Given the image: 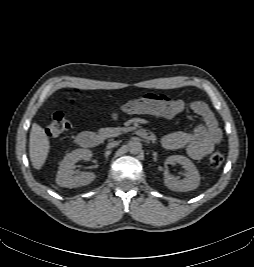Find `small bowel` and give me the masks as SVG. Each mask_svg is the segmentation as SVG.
I'll return each instance as SVG.
<instances>
[{
	"label": "small bowel",
	"mask_w": 254,
	"mask_h": 267,
	"mask_svg": "<svg viewBox=\"0 0 254 267\" xmlns=\"http://www.w3.org/2000/svg\"><path fill=\"white\" fill-rule=\"evenodd\" d=\"M186 108L200 118V123L192 132H173L162 137L161 144L165 149H186L187 154L200 160L210 154L221 140V130L208 105L202 101L186 104L183 100L173 99L163 94L148 93L130 100L120 106V111L128 114H147L164 119H173ZM118 114L113 113L112 119Z\"/></svg>",
	"instance_id": "obj_1"
}]
</instances>
